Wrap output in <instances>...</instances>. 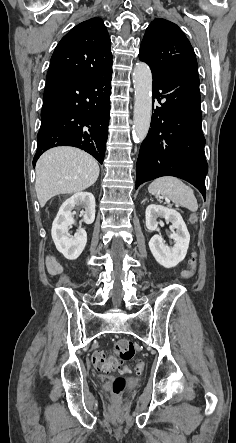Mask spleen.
<instances>
[{
	"mask_svg": "<svg viewBox=\"0 0 236 443\" xmlns=\"http://www.w3.org/2000/svg\"><path fill=\"white\" fill-rule=\"evenodd\" d=\"M148 191L156 198L167 196L172 202L186 207L191 212L198 209L193 190L178 178L172 176L157 178L148 186Z\"/></svg>",
	"mask_w": 236,
	"mask_h": 443,
	"instance_id": "spleen-1",
	"label": "spleen"
}]
</instances>
